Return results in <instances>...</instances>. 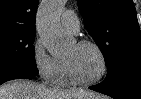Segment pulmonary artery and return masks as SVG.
I'll return each mask as SVG.
<instances>
[{"instance_id": "pulmonary-artery-1", "label": "pulmonary artery", "mask_w": 141, "mask_h": 99, "mask_svg": "<svg viewBox=\"0 0 141 99\" xmlns=\"http://www.w3.org/2000/svg\"><path fill=\"white\" fill-rule=\"evenodd\" d=\"M61 25L66 31L71 33H77L80 28L79 19L72 10H67L62 14Z\"/></svg>"}]
</instances>
